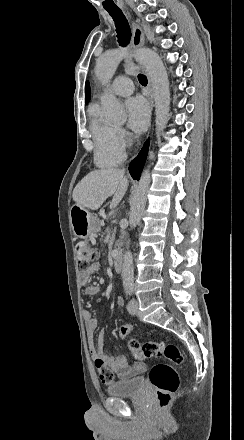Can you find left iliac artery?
<instances>
[{"label":"left iliac artery","mask_w":244,"mask_h":440,"mask_svg":"<svg viewBox=\"0 0 244 440\" xmlns=\"http://www.w3.org/2000/svg\"><path fill=\"white\" fill-rule=\"evenodd\" d=\"M129 292H130V293L133 292V288H132V287L129 288Z\"/></svg>","instance_id":"left-iliac-artery-1"}]
</instances>
